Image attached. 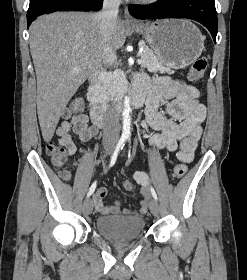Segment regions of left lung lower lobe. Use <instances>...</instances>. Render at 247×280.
Segmentation results:
<instances>
[{
    "label": "left lung lower lobe",
    "mask_w": 247,
    "mask_h": 280,
    "mask_svg": "<svg viewBox=\"0 0 247 280\" xmlns=\"http://www.w3.org/2000/svg\"><path fill=\"white\" fill-rule=\"evenodd\" d=\"M139 19L188 18L203 24L216 42L217 12L214 0H158L148 6H130Z\"/></svg>",
    "instance_id": "obj_1"
}]
</instances>
